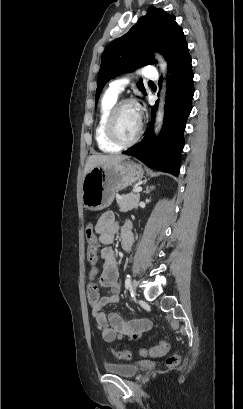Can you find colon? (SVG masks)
Instances as JSON below:
<instances>
[{"instance_id": "5ec220e1", "label": "colon", "mask_w": 243, "mask_h": 409, "mask_svg": "<svg viewBox=\"0 0 243 409\" xmlns=\"http://www.w3.org/2000/svg\"><path fill=\"white\" fill-rule=\"evenodd\" d=\"M85 236L88 242V248H87V256L89 259H93L96 257L99 249V240L97 236L94 233V228L91 223L87 224L84 229ZM87 296L89 303L94 305L98 303L100 295H99V290L95 286H88L87 287ZM169 350V342L167 338H164L160 343L156 346L150 347V348H143L140 349L139 353L141 355H150V356H158L165 354ZM115 355L121 359L124 360H130L133 357V353L130 351H118L115 352ZM180 362V356L179 355H171L167 358V365L169 367H176Z\"/></svg>"}]
</instances>
